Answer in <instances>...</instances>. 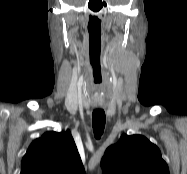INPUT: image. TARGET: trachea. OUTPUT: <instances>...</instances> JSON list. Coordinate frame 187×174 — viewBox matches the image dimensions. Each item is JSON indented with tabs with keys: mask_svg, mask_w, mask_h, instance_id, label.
Returning <instances> with one entry per match:
<instances>
[{
	"mask_svg": "<svg viewBox=\"0 0 187 174\" xmlns=\"http://www.w3.org/2000/svg\"><path fill=\"white\" fill-rule=\"evenodd\" d=\"M105 112L103 110H94L92 114L93 132L96 139H100L105 127Z\"/></svg>",
	"mask_w": 187,
	"mask_h": 174,
	"instance_id": "3493384b",
	"label": "trachea"
}]
</instances>
